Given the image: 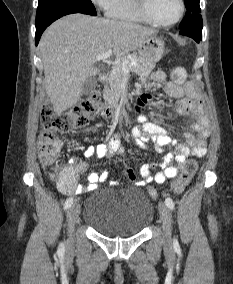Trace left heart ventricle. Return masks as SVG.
I'll return each instance as SVG.
<instances>
[{
	"label": "left heart ventricle",
	"instance_id": "b2bd125f",
	"mask_svg": "<svg viewBox=\"0 0 233 284\" xmlns=\"http://www.w3.org/2000/svg\"><path fill=\"white\" fill-rule=\"evenodd\" d=\"M149 7L154 17L161 22H171L179 14L178 0H149Z\"/></svg>",
	"mask_w": 233,
	"mask_h": 284
}]
</instances>
